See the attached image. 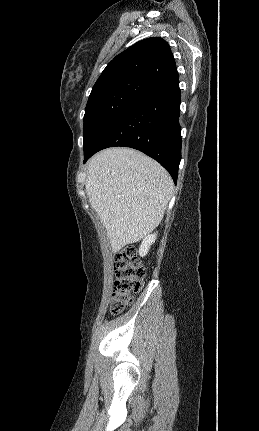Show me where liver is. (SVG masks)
<instances>
[{
    "label": "liver",
    "instance_id": "6515ba94",
    "mask_svg": "<svg viewBox=\"0 0 259 431\" xmlns=\"http://www.w3.org/2000/svg\"><path fill=\"white\" fill-rule=\"evenodd\" d=\"M85 187L116 253L158 226L172 196L173 181L147 155L130 148H109L89 160Z\"/></svg>",
    "mask_w": 259,
    "mask_h": 431
}]
</instances>
